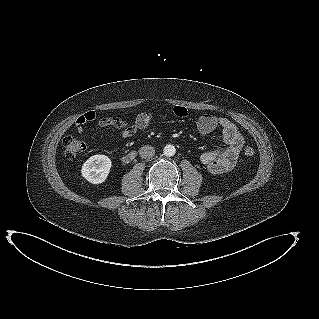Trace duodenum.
<instances>
[{
    "instance_id": "410a0bca",
    "label": "duodenum",
    "mask_w": 319,
    "mask_h": 319,
    "mask_svg": "<svg viewBox=\"0 0 319 319\" xmlns=\"http://www.w3.org/2000/svg\"><path fill=\"white\" fill-rule=\"evenodd\" d=\"M135 157V153H130L124 157L125 162L131 161Z\"/></svg>"
}]
</instances>
